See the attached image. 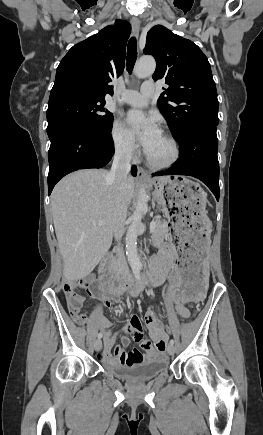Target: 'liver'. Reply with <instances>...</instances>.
<instances>
[{"mask_svg":"<svg viewBox=\"0 0 263 435\" xmlns=\"http://www.w3.org/2000/svg\"><path fill=\"white\" fill-rule=\"evenodd\" d=\"M106 170H80L63 178L51 194L56 237L64 262L65 279L89 275L109 250L114 230H122L126 216L119 208ZM135 180H126L125 201L131 202ZM103 221L104 224L99 225Z\"/></svg>","mask_w":263,"mask_h":435,"instance_id":"obj_1","label":"liver"}]
</instances>
